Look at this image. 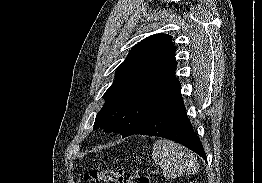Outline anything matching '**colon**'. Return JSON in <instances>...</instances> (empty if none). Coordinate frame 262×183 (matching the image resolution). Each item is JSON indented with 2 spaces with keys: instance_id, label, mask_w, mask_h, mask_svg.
Wrapping results in <instances>:
<instances>
[{
  "instance_id": "obj_1",
  "label": "colon",
  "mask_w": 262,
  "mask_h": 183,
  "mask_svg": "<svg viewBox=\"0 0 262 183\" xmlns=\"http://www.w3.org/2000/svg\"><path fill=\"white\" fill-rule=\"evenodd\" d=\"M84 180L92 183H151L144 175H134L125 171L116 170H90L84 173Z\"/></svg>"
}]
</instances>
